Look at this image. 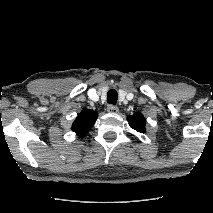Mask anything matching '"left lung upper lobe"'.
Masks as SVG:
<instances>
[{
  "label": "left lung upper lobe",
  "mask_w": 213,
  "mask_h": 213,
  "mask_svg": "<svg viewBox=\"0 0 213 213\" xmlns=\"http://www.w3.org/2000/svg\"><path fill=\"white\" fill-rule=\"evenodd\" d=\"M129 125L132 129L137 132L144 133L145 132V119L143 115L139 112L133 114L128 117Z\"/></svg>",
  "instance_id": "left-lung-upper-lobe-1"
}]
</instances>
